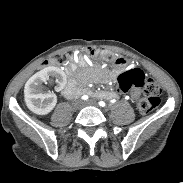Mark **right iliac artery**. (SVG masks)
I'll list each match as a JSON object with an SVG mask.
<instances>
[{
	"label": "right iliac artery",
	"instance_id": "82829eb1",
	"mask_svg": "<svg viewBox=\"0 0 183 183\" xmlns=\"http://www.w3.org/2000/svg\"><path fill=\"white\" fill-rule=\"evenodd\" d=\"M81 98H82L83 100H87V99H88V96H87V95H83Z\"/></svg>",
	"mask_w": 183,
	"mask_h": 183
}]
</instances>
